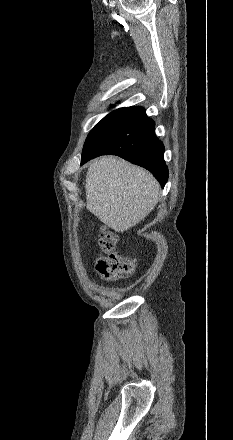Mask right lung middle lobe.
Here are the masks:
<instances>
[{
	"label": "right lung middle lobe",
	"instance_id": "dd1d6c3e",
	"mask_svg": "<svg viewBox=\"0 0 233 440\" xmlns=\"http://www.w3.org/2000/svg\"><path fill=\"white\" fill-rule=\"evenodd\" d=\"M120 109L114 110L111 113H109L105 118H103L94 128L93 130H95L96 128H98L100 125H102L104 122H106L108 119H110L114 114H116ZM92 130V131H93ZM91 131V132H92ZM90 132V133H91Z\"/></svg>",
	"mask_w": 233,
	"mask_h": 440
}]
</instances>
